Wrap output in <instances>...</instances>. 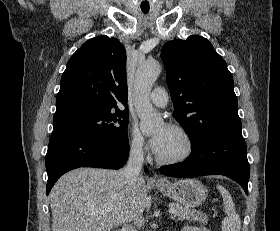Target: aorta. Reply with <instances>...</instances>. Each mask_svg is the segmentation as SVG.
<instances>
[{
  "label": "aorta",
  "instance_id": "obj_1",
  "mask_svg": "<svg viewBox=\"0 0 280 231\" xmlns=\"http://www.w3.org/2000/svg\"><path fill=\"white\" fill-rule=\"evenodd\" d=\"M161 72L159 62H146L144 66H138L134 86V106L137 116L140 117L142 133H154L160 123H163V117L156 114L149 98L152 86Z\"/></svg>",
  "mask_w": 280,
  "mask_h": 231
}]
</instances>
